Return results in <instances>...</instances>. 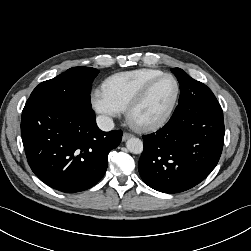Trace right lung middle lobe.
Masks as SVG:
<instances>
[{"mask_svg":"<svg viewBox=\"0 0 251 251\" xmlns=\"http://www.w3.org/2000/svg\"><path fill=\"white\" fill-rule=\"evenodd\" d=\"M98 72L91 67L70 68L57 77L40 83L29 99L46 100L74 109L91 108V86Z\"/></svg>","mask_w":251,"mask_h":251,"instance_id":"right-lung-middle-lobe-1","label":"right lung middle lobe"}]
</instances>
